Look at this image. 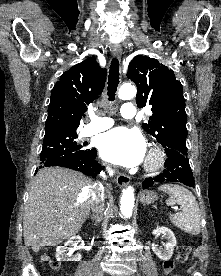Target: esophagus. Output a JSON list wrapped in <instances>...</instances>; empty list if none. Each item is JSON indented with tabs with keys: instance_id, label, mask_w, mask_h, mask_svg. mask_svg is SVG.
Returning a JSON list of instances; mask_svg holds the SVG:
<instances>
[{
	"instance_id": "1",
	"label": "esophagus",
	"mask_w": 221,
	"mask_h": 276,
	"mask_svg": "<svg viewBox=\"0 0 221 276\" xmlns=\"http://www.w3.org/2000/svg\"><path fill=\"white\" fill-rule=\"evenodd\" d=\"M112 54L114 57L120 59L122 55V50L119 45L112 46ZM130 182V177L125 174H119L116 178V183L119 187H124Z\"/></svg>"
}]
</instances>
